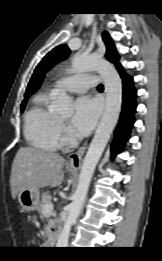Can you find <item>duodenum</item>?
<instances>
[{"label": "duodenum", "instance_id": "1", "mask_svg": "<svg viewBox=\"0 0 162 261\" xmlns=\"http://www.w3.org/2000/svg\"><path fill=\"white\" fill-rule=\"evenodd\" d=\"M58 240V231L51 232L49 234L48 242L50 245H56Z\"/></svg>", "mask_w": 162, "mask_h": 261}]
</instances>
